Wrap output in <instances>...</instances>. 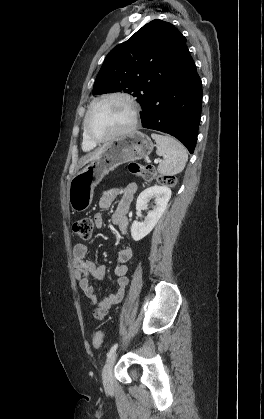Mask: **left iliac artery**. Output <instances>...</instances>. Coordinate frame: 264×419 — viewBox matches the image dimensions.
I'll return each mask as SVG.
<instances>
[{
  "label": "left iliac artery",
  "mask_w": 264,
  "mask_h": 419,
  "mask_svg": "<svg viewBox=\"0 0 264 419\" xmlns=\"http://www.w3.org/2000/svg\"><path fill=\"white\" fill-rule=\"evenodd\" d=\"M118 347V343L114 344L111 349L109 350V352L107 353V357L109 358L117 349Z\"/></svg>",
  "instance_id": "left-iliac-artery-1"
}]
</instances>
